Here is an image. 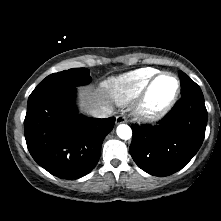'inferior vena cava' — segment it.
<instances>
[{"mask_svg":"<svg viewBox=\"0 0 221 221\" xmlns=\"http://www.w3.org/2000/svg\"><path fill=\"white\" fill-rule=\"evenodd\" d=\"M113 113V108L108 106H100L89 110V114L96 118H107Z\"/></svg>","mask_w":221,"mask_h":221,"instance_id":"obj_1","label":"inferior vena cava"}]
</instances>
